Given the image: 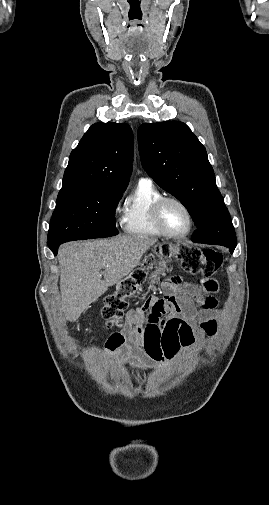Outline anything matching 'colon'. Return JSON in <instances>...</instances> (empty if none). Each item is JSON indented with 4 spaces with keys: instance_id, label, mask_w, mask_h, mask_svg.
<instances>
[{
    "instance_id": "5ec220e1",
    "label": "colon",
    "mask_w": 269,
    "mask_h": 505,
    "mask_svg": "<svg viewBox=\"0 0 269 505\" xmlns=\"http://www.w3.org/2000/svg\"><path fill=\"white\" fill-rule=\"evenodd\" d=\"M156 255L176 257L186 274H203L205 280L215 278V271L217 273L223 264V255L220 252L186 244L158 248ZM153 262L154 256H147L141 267L123 278L119 282L116 291L105 298L102 316L109 328H118L121 331L113 335L123 333L129 328L128 323L123 320L127 308V299L140 290L146 280L147 271L152 267Z\"/></svg>"
}]
</instances>
